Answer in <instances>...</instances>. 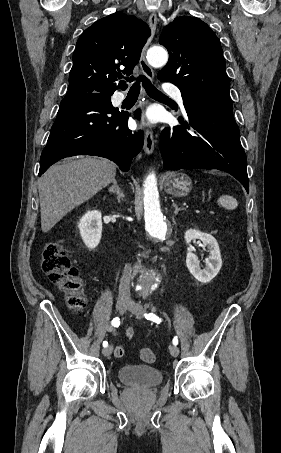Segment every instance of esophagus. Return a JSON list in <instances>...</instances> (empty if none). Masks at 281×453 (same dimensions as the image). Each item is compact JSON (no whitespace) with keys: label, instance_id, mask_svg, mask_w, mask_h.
I'll return each mask as SVG.
<instances>
[{"label":"esophagus","instance_id":"34e87169","mask_svg":"<svg viewBox=\"0 0 281 453\" xmlns=\"http://www.w3.org/2000/svg\"><path fill=\"white\" fill-rule=\"evenodd\" d=\"M149 26H150V29H151V36L149 37L147 43L145 44V46H144V48L142 50L139 64H140V67H141V70H142L143 74L148 79L153 80L154 79V71H153L152 67H150V65H148V63L146 61V58H145V55H146V50H147L149 44L151 43V40H152V38H153V36L155 34V31H156L157 15H156L155 12L151 13V15L149 17ZM143 150L148 155H150L153 152V150H154V136H153V132H152L151 128H148L146 130Z\"/></svg>","mask_w":281,"mask_h":453}]
</instances>
